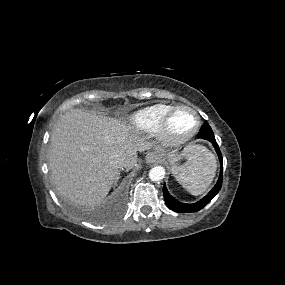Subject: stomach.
<instances>
[{"label":"stomach","mask_w":285,"mask_h":285,"mask_svg":"<svg viewBox=\"0 0 285 285\" xmlns=\"http://www.w3.org/2000/svg\"><path fill=\"white\" fill-rule=\"evenodd\" d=\"M183 154H177L176 151H171L170 153L167 154L166 158L170 162L171 166L174 167L177 165L180 160L182 159Z\"/></svg>","instance_id":"stomach-1"}]
</instances>
